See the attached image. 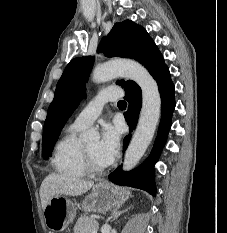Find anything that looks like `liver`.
I'll return each instance as SVG.
<instances>
[{
	"mask_svg": "<svg viewBox=\"0 0 227 233\" xmlns=\"http://www.w3.org/2000/svg\"><path fill=\"white\" fill-rule=\"evenodd\" d=\"M94 186L93 181L71 178L62 174H49L40 186V199L43 210L54 197L61 195L80 196Z\"/></svg>",
	"mask_w": 227,
	"mask_h": 233,
	"instance_id": "liver-1",
	"label": "liver"
}]
</instances>
